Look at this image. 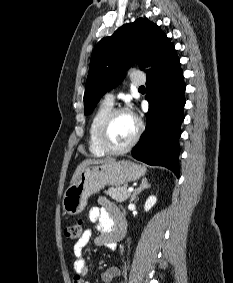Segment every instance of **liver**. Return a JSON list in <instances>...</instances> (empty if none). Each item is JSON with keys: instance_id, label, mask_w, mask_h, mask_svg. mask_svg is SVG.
I'll use <instances>...</instances> for the list:
<instances>
[{"instance_id": "liver-1", "label": "liver", "mask_w": 233, "mask_h": 283, "mask_svg": "<svg viewBox=\"0 0 233 283\" xmlns=\"http://www.w3.org/2000/svg\"><path fill=\"white\" fill-rule=\"evenodd\" d=\"M112 161H115L114 158H105V159H87V160H84L82 161L78 167L76 168L73 176H72V179H71V182H70V185H73L74 182L77 180L79 174L81 173V171L89 166V165H95V164H104V163H108V162H112Z\"/></svg>"}]
</instances>
